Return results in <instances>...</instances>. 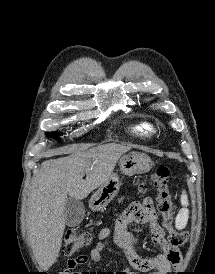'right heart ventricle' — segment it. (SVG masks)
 <instances>
[{
  "mask_svg": "<svg viewBox=\"0 0 215 274\" xmlns=\"http://www.w3.org/2000/svg\"><path fill=\"white\" fill-rule=\"evenodd\" d=\"M127 132L137 138L146 139L153 133L152 126L145 121H136L127 125Z\"/></svg>",
  "mask_w": 215,
  "mask_h": 274,
  "instance_id": "1",
  "label": "right heart ventricle"
}]
</instances>
